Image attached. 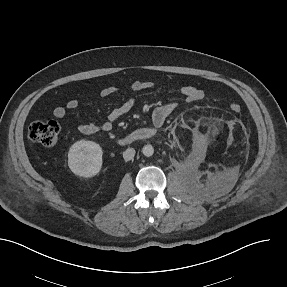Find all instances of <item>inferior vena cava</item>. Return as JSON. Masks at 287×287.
Segmentation results:
<instances>
[{
  "mask_svg": "<svg viewBox=\"0 0 287 287\" xmlns=\"http://www.w3.org/2000/svg\"><path fill=\"white\" fill-rule=\"evenodd\" d=\"M135 149L134 148H128L123 152V158L125 161L132 160L135 156Z\"/></svg>",
  "mask_w": 287,
  "mask_h": 287,
  "instance_id": "inferior-vena-cava-1",
  "label": "inferior vena cava"
}]
</instances>
